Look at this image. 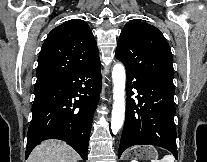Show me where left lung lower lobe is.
<instances>
[{
  "mask_svg": "<svg viewBox=\"0 0 207 162\" xmlns=\"http://www.w3.org/2000/svg\"><path fill=\"white\" fill-rule=\"evenodd\" d=\"M126 119L122 132L119 157L129 147L152 144L169 150L178 159L174 124V85L150 80L126 70ZM133 84H130V82ZM135 88L137 101L130 98Z\"/></svg>",
  "mask_w": 207,
  "mask_h": 162,
  "instance_id": "1",
  "label": "left lung lower lobe"
}]
</instances>
